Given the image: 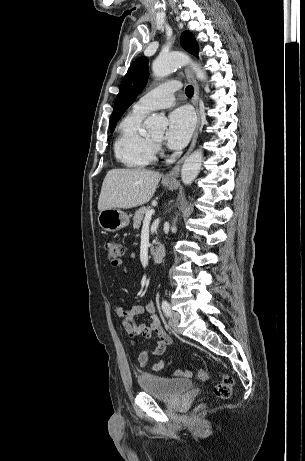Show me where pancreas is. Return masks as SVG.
<instances>
[{
    "label": "pancreas",
    "instance_id": "cf45deb5",
    "mask_svg": "<svg viewBox=\"0 0 305 461\" xmlns=\"http://www.w3.org/2000/svg\"><path fill=\"white\" fill-rule=\"evenodd\" d=\"M150 209L151 207L144 206L136 210L133 216V227L134 228L138 229L140 227L143 217L146 215L148 211H150Z\"/></svg>",
    "mask_w": 305,
    "mask_h": 461
}]
</instances>
